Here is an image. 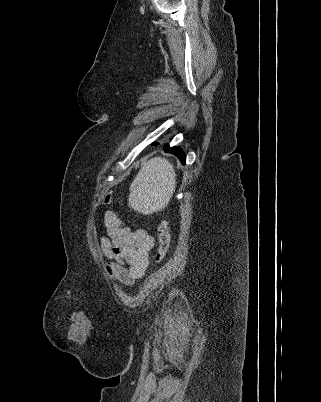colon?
<instances>
[{
  "instance_id": "1",
  "label": "colon",
  "mask_w": 321,
  "mask_h": 402,
  "mask_svg": "<svg viewBox=\"0 0 321 402\" xmlns=\"http://www.w3.org/2000/svg\"><path fill=\"white\" fill-rule=\"evenodd\" d=\"M114 198L111 194H107L104 199V204H113ZM158 249L155 254V261L161 262L168 255L170 248V233L165 222H160L157 226Z\"/></svg>"
}]
</instances>
